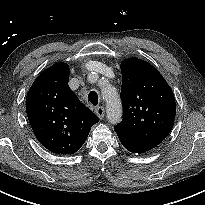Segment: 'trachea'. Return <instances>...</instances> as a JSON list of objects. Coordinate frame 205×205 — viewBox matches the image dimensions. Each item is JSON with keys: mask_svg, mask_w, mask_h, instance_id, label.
Instances as JSON below:
<instances>
[{"mask_svg": "<svg viewBox=\"0 0 205 205\" xmlns=\"http://www.w3.org/2000/svg\"><path fill=\"white\" fill-rule=\"evenodd\" d=\"M89 101L93 104V105H97L98 104V94L95 91H91L88 95Z\"/></svg>", "mask_w": 205, "mask_h": 205, "instance_id": "trachea-1", "label": "trachea"}]
</instances>
